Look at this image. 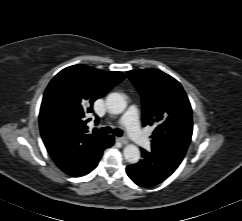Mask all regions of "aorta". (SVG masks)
<instances>
[{"mask_svg":"<svg viewBox=\"0 0 242 221\" xmlns=\"http://www.w3.org/2000/svg\"><path fill=\"white\" fill-rule=\"evenodd\" d=\"M106 104L109 111L113 114H120L122 113L126 106L127 102L125 98L120 93H110L106 98ZM124 158L127 162L131 164H135L140 159V150L134 144H128L124 147L123 150Z\"/></svg>","mask_w":242,"mask_h":221,"instance_id":"762f6f07","label":"aorta"}]
</instances>
